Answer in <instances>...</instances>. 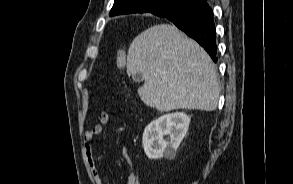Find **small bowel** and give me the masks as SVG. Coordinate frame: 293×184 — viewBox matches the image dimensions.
<instances>
[{
	"mask_svg": "<svg viewBox=\"0 0 293 184\" xmlns=\"http://www.w3.org/2000/svg\"><path fill=\"white\" fill-rule=\"evenodd\" d=\"M109 119H110V116L107 112L105 111L100 112L98 115V122L91 129H89L85 133V136H84L85 154H86L87 163H88L91 175L93 177V180L97 184H104V181H103V178L101 177L96 160L94 158L93 141L95 137L98 136L102 132L104 126L108 124ZM123 153H124V158L126 160V163L130 170L126 184H140L138 176L134 170V163L131 156L129 155L127 150H124Z\"/></svg>",
	"mask_w": 293,
	"mask_h": 184,
	"instance_id": "1",
	"label": "small bowel"
}]
</instances>
